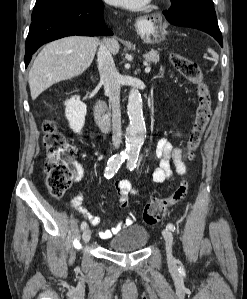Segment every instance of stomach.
Here are the masks:
<instances>
[{
  "label": "stomach",
  "mask_w": 247,
  "mask_h": 299,
  "mask_svg": "<svg viewBox=\"0 0 247 299\" xmlns=\"http://www.w3.org/2000/svg\"><path fill=\"white\" fill-rule=\"evenodd\" d=\"M141 38L146 43H159L165 39L166 30L161 23H151L147 20H141L136 25Z\"/></svg>",
  "instance_id": "0dacf381"
}]
</instances>
